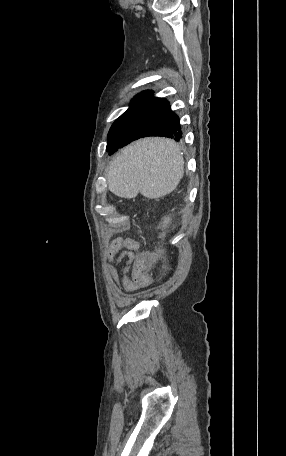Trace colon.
<instances>
[{
  "instance_id": "colon-1",
  "label": "colon",
  "mask_w": 286,
  "mask_h": 456,
  "mask_svg": "<svg viewBox=\"0 0 286 456\" xmlns=\"http://www.w3.org/2000/svg\"><path fill=\"white\" fill-rule=\"evenodd\" d=\"M160 261V251H147L137 254L130 270L132 280L140 287L149 285L153 281L151 271Z\"/></svg>"
}]
</instances>
